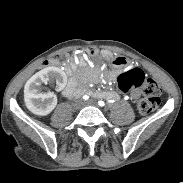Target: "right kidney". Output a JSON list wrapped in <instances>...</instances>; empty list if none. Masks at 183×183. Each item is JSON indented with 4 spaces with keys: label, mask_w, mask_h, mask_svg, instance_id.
<instances>
[{
    "label": "right kidney",
    "mask_w": 183,
    "mask_h": 183,
    "mask_svg": "<svg viewBox=\"0 0 183 183\" xmlns=\"http://www.w3.org/2000/svg\"><path fill=\"white\" fill-rule=\"evenodd\" d=\"M55 81L58 89L67 82L66 74L57 67H47L33 75L25 84L24 101L30 112L38 116L50 114L57 105V97L51 92H41L42 83Z\"/></svg>",
    "instance_id": "right-kidney-1"
}]
</instances>
